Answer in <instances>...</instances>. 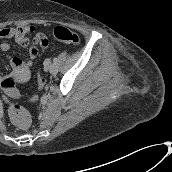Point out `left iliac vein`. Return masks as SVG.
I'll use <instances>...</instances> for the list:
<instances>
[{
	"mask_svg": "<svg viewBox=\"0 0 172 172\" xmlns=\"http://www.w3.org/2000/svg\"><path fill=\"white\" fill-rule=\"evenodd\" d=\"M45 69L48 70L53 75L57 74V72H58V68H57V65L55 63L47 65L45 67Z\"/></svg>",
	"mask_w": 172,
	"mask_h": 172,
	"instance_id": "obj_1",
	"label": "left iliac vein"
}]
</instances>
